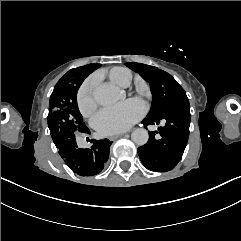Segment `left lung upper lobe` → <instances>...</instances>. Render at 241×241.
Instances as JSON below:
<instances>
[{"label": "left lung upper lobe", "instance_id": "1", "mask_svg": "<svg viewBox=\"0 0 241 241\" xmlns=\"http://www.w3.org/2000/svg\"><path fill=\"white\" fill-rule=\"evenodd\" d=\"M125 65L150 83L152 106L146 117L160 115L178 102L188 100L184 89L167 72L142 63L130 62Z\"/></svg>", "mask_w": 241, "mask_h": 241}]
</instances>
